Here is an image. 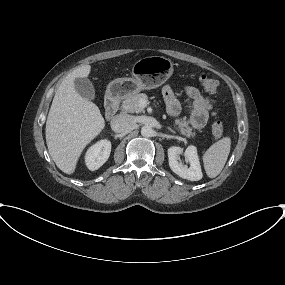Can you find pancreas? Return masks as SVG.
<instances>
[{
	"instance_id": "obj_1",
	"label": "pancreas",
	"mask_w": 285,
	"mask_h": 285,
	"mask_svg": "<svg viewBox=\"0 0 285 285\" xmlns=\"http://www.w3.org/2000/svg\"><path fill=\"white\" fill-rule=\"evenodd\" d=\"M148 96L144 93H137L133 95L127 96L122 102V110L129 112V113H139L144 110L143 107L140 106L141 100H147ZM174 127L178 130L182 135L188 138H194L196 133L193 129L189 126V121L185 118L183 119H176L174 123Z\"/></svg>"
}]
</instances>
